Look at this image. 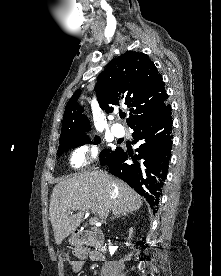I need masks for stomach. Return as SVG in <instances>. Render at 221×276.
Segmentation results:
<instances>
[{
  "label": "stomach",
  "instance_id": "0dacf381",
  "mask_svg": "<svg viewBox=\"0 0 221 276\" xmlns=\"http://www.w3.org/2000/svg\"><path fill=\"white\" fill-rule=\"evenodd\" d=\"M69 242H70L71 244H76V243L78 242V239H77V237H76L75 235H72V236L70 237V239H69Z\"/></svg>",
  "mask_w": 221,
  "mask_h": 276
}]
</instances>
